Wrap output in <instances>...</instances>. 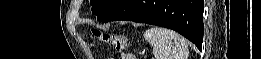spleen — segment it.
<instances>
[{
  "instance_id": "3e777b00",
  "label": "spleen",
  "mask_w": 261,
  "mask_h": 59,
  "mask_svg": "<svg viewBox=\"0 0 261 59\" xmlns=\"http://www.w3.org/2000/svg\"><path fill=\"white\" fill-rule=\"evenodd\" d=\"M143 36L153 47L156 59H187L189 55L186 40L178 33L161 27L147 29Z\"/></svg>"
}]
</instances>
